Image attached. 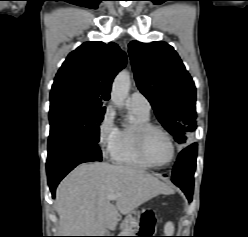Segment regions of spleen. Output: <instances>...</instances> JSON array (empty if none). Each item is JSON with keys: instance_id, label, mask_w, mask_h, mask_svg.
<instances>
[{"instance_id": "spleen-1", "label": "spleen", "mask_w": 248, "mask_h": 237, "mask_svg": "<svg viewBox=\"0 0 248 237\" xmlns=\"http://www.w3.org/2000/svg\"><path fill=\"white\" fill-rule=\"evenodd\" d=\"M164 231L167 235H172L174 233V226L171 222L165 225Z\"/></svg>"}]
</instances>
